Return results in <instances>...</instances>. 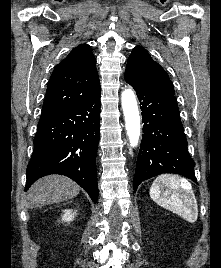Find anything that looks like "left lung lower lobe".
Returning <instances> with one entry per match:
<instances>
[{
	"label": "left lung lower lobe",
	"mask_w": 221,
	"mask_h": 268,
	"mask_svg": "<svg viewBox=\"0 0 221 268\" xmlns=\"http://www.w3.org/2000/svg\"><path fill=\"white\" fill-rule=\"evenodd\" d=\"M132 87L139 98L144 123L134 191L142 181L161 173H177L197 183L175 96Z\"/></svg>",
	"instance_id": "obj_1"
}]
</instances>
